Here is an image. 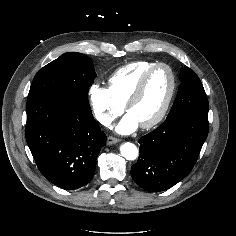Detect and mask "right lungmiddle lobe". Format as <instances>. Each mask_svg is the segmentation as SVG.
Wrapping results in <instances>:
<instances>
[{
    "mask_svg": "<svg viewBox=\"0 0 236 236\" xmlns=\"http://www.w3.org/2000/svg\"><path fill=\"white\" fill-rule=\"evenodd\" d=\"M95 77L90 58L65 53L38 71L27 100L49 96L88 103V89Z\"/></svg>",
    "mask_w": 236,
    "mask_h": 236,
    "instance_id": "1",
    "label": "right lung middle lobe"
}]
</instances>
